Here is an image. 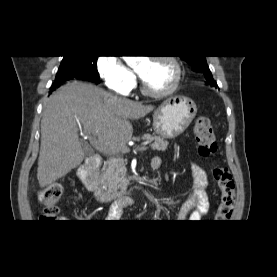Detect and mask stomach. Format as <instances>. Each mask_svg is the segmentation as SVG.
Masks as SVG:
<instances>
[{
  "mask_svg": "<svg viewBox=\"0 0 277 277\" xmlns=\"http://www.w3.org/2000/svg\"><path fill=\"white\" fill-rule=\"evenodd\" d=\"M197 113V107L190 98L176 95L166 99L153 115V130L163 139L181 135Z\"/></svg>",
  "mask_w": 277,
  "mask_h": 277,
  "instance_id": "1",
  "label": "stomach"
}]
</instances>
